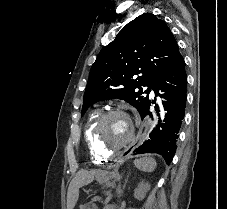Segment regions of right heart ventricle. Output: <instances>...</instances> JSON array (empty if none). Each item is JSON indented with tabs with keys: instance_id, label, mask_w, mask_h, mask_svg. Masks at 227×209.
<instances>
[{
	"instance_id": "1",
	"label": "right heart ventricle",
	"mask_w": 227,
	"mask_h": 209,
	"mask_svg": "<svg viewBox=\"0 0 227 209\" xmlns=\"http://www.w3.org/2000/svg\"><path fill=\"white\" fill-rule=\"evenodd\" d=\"M102 113L101 110H96L92 112L83 128V137L88 147L89 156L93 163L95 164H103L111 160L112 156L103 154L94 142V126L97 118ZM78 135V134H76Z\"/></svg>"
}]
</instances>
